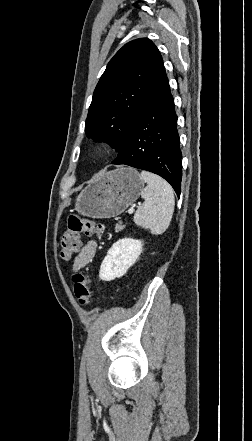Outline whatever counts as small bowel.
<instances>
[{
  "label": "small bowel",
  "mask_w": 252,
  "mask_h": 441,
  "mask_svg": "<svg viewBox=\"0 0 252 441\" xmlns=\"http://www.w3.org/2000/svg\"><path fill=\"white\" fill-rule=\"evenodd\" d=\"M97 250V242L95 240L87 241L76 255L72 270L77 272L87 266L94 258Z\"/></svg>",
  "instance_id": "obj_1"
}]
</instances>
